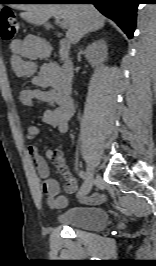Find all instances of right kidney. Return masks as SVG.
I'll return each instance as SVG.
<instances>
[{
    "label": "right kidney",
    "instance_id": "ca27d5eb",
    "mask_svg": "<svg viewBox=\"0 0 156 266\" xmlns=\"http://www.w3.org/2000/svg\"><path fill=\"white\" fill-rule=\"evenodd\" d=\"M107 43L99 39L88 45L85 49V56L92 67H97L107 60Z\"/></svg>",
    "mask_w": 156,
    "mask_h": 266
}]
</instances>
